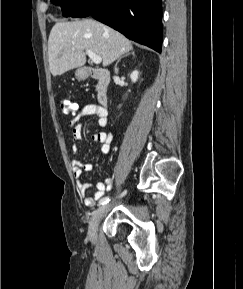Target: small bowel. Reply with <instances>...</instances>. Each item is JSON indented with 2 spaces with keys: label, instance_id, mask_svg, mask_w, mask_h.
<instances>
[{
  "label": "small bowel",
  "instance_id": "small-bowel-1",
  "mask_svg": "<svg viewBox=\"0 0 243 289\" xmlns=\"http://www.w3.org/2000/svg\"><path fill=\"white\" fill-rule=\"evenodd\" d=\"M95 115L97 117V122L100 127H106L108 123V114L106 109L97 104H86L80 111L74 116V118L69 122V129L72 133L73 142L81 140L82 137V125L80 121L86 116ZM92 139L95 142L101 144L100 151L102 154H108L111 150V144L113 142V134L108 132H97L93 134ZM79 148L76 144L72 146L73 154H77ZM71 168L74 177L76 178L77 189L80 196L83 198V202L86 206L92 207L97 201L104 198L106 191L111 187V179L105 181H100L96 184V191L93 195H88L87 191L91 184L89 182H84L81 180L82 172H90L93 170V165L90 163H82L77 159L71 161Z\"/></svg>",
  "mask_w": 243,
  "mask_h": 289
}]
</instances>
